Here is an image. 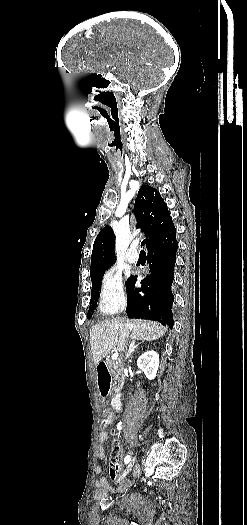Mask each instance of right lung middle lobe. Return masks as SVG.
Listing matches in <instances>:
<instances>
[{
  "instance_id": "right-lung-middle-lobe-1",
  "label": "right lung middle lobe",
  "mask_w": 247,
  "mask_h": 525,
  "mask_svg": "<svg viewBox=\"0 0 247 525\" xmlns=\"http://www.w3.org/2000/svg\"><path fill=\"white\" fill-rule=\"evenodd\" d=\"M104 276V273L102 274H96V275H91V281H92V290H91V301H90V307H89V312L96 307L97 305V301H98V297H99V290H100V286H101V280ZM92 314L89 313L88 314V318L91 317Z\"/></svg>"
}]
</instances>
